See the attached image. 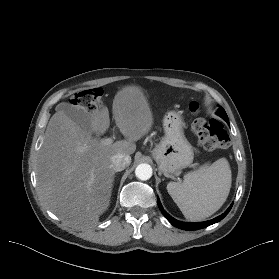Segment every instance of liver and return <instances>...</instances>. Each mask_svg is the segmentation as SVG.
Segmentation results:
<instances>
[{
    "instance_id": "1",
    "label": "liver",
    "mask_w": 279,
    "mask_h": 279,
    "mask_svg": "<svg viewBox=\"0 0 279 279\" xmlns=\"http://www.w3.org/2000/svg\"><path fill=\"white\" fill-rule=\"evenodd\" d=\"M57 106L40 148L36 179L46 207L67 226L80 230L95 226L110 205L114 181L111 157L131 155L135 142L153 125V114L141 87L127 85L113 99V118L125 140L104 144L97 136L110 126L106 107L90 113L91 130L72 121Z\"/></svg>"
}]
</instances>
